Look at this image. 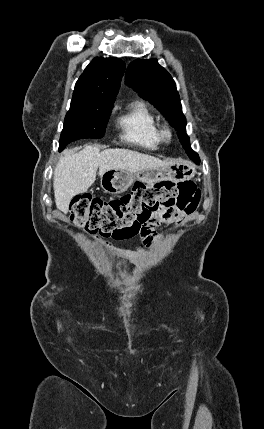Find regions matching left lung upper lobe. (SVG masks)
I'll return each instance as SVG.
<instances>
[{
	"label": "left lung upper lobe",
	"instance_id": "left-lung-upper-lobe-1",
	"mask_svg": "<svg viewBox=\"0 0 264 429\" xmlns=\"http://www.w3.org/2000/svg\"><path fill=\"white\" fill-rule=\"evenodd\" d=\"M126 83L139 96L152 103L177 130L180 142L188 156L193 155L186 134V119L182 113L180 97L171 75L156 59H137L130 63L126 72Z\"/></svg>",
	"mask_w": 264,
	"mask_h": 429
}]
</instances>
